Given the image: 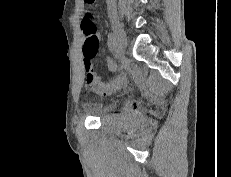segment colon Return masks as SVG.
I'll return each instance as SVG.
<instances>
[{"label": "colon", "mask_w": 231, "mask_h": 177, "mask_svg": "<svg viewBox=\"0 0 231 177\" xmlns=\"http://www.w3.org/2000/svg\"><path fill=\"white\" fill-rule=\"evenodd\" d=\"M87 4H92L95 0H84ZM81 28L83 33L85 34V42L83 45V54L87 60H92V58L96 55L99 48V39L96 35V28L94 23L86 16L82 23Z\"/></svg>", "instance_id": "obj_1"}]
</instances>
